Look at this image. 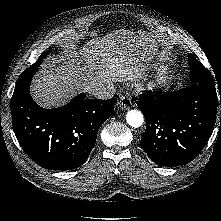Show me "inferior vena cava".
<instances>
[{
    "instance_id": "obj_1",
    "label": "inferior vena cava",
    "mask_w": 221,
    "mask_h": 221,
    "mask_svg": "<svg viewBox=\"0 0 221 221\" xmlns=\"http://www.w3.org/2000/svg\"><path fill=\"white\" fill-rule=\"evenodd\" d=\"M115 88L113 85L96 87L90 91L92 95L99 99H111L114 95Z\"/></svg>"
}]
</instances>
